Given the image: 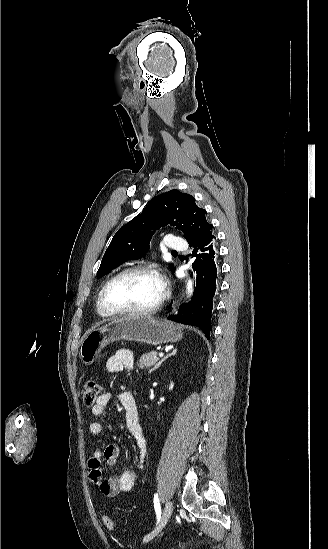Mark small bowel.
<instances>
[{
    "instance_id": "c3829d8e",
    "label": "small bowel",
    "mask_w": 328,
    "mask_h": 549,
    "mask_svg": "<svg viewBox=\"0 0 328 549\" xmlns=\"http://www.w3.org/2000/svg\"><path fill=\"white\" fill-rule=\"evenodd\" d=\"M133 366V353L126 349L118 350L106 361V370L110 373H118L123 369H132ZM118 399L124 410L126 428L139 449L140 460L138 470H142L147 453V442L139 421L136 401L129 391H121ZM110 400L111 395L109 393L101 394L91 409L92 415L94 417H102ZM88 428L93 435H100L103 431L102 424L98 421L90 422ZM119 453L120 448L115 443H111L105 448L97 446L93 449L92 455L88 460L91 480L98 491L107 498H115L121 493L131 491L137 482L138 472L131 468H123L118 475H113L108 479L104 477L102 462L105 461L110 468H114L117 464Z\"/></svg>"
}]
</instances>
